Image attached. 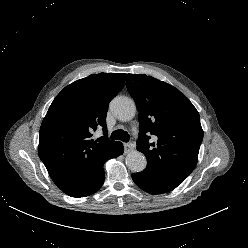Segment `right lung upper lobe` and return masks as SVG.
<instances>
[{"label":"right lung upper lobe","instance_id":"right-lung-upper-lobe-1","mask_svg":"<svg viewBox=\"0 0 248 248\" xmlns=\"http://www.w3.org/2000/svg\"><path fill=\"white\" fill-rule=\"evenodd\" d=\"M124 73L92 74L66 86L50 105L39 132L38 154L54 183L66 194L100 172L117 142L107 138L109 102L123 88ZM104 136L91 139L93 131Z\"/></svg>","mask_w":248,"mask_h":248}]
</instances>
